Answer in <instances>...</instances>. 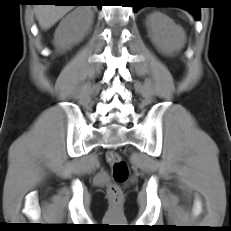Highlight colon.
Instances as JSON below:
<instances>
[{"label":"colon","mask_w":231,"mask_h":231,"mask_svg":"<svg viewBox=\"0 0 231 231\" xmlns=\"http://www.w3.org/2000/svg\"><path fill=\"white\" fill-rule=\"evenodd\" d=\"M107 162L112 170V175L115 183L108 188V194L112 200H119L122 196V191L119 184L123 183L129 174L128 164L117 152L110 151L107 153Z\"/></svg>","instance_id":"5ec220e1"}]
</instances>
